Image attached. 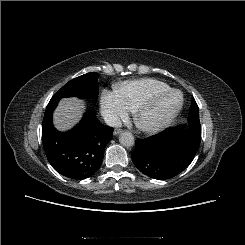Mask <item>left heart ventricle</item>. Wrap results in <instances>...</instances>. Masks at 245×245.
Masks as SVG:
<instances>
[{"label":"left heart ventricle","instance_id":"left-heart-ventricle-1","mask_svg":"<svg viewBox=\"0 0 245 245\" xmlns=\"http://www.w3.org/2000/svg\"><path fill=\"white\" fill-rule=\"evenodd\" d=\"M181 98L178 93H174L146 110L142 115V120L145 123H154L159 119L171 113L179 104Z\"/></svg>","mask_w":245,"mask_h":245}]
</instances>
